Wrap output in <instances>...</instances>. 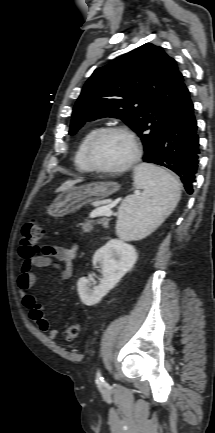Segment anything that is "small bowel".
<instances>
[{
    "label": "small bowel",
    "mask_w": 215,
    "mask_h": 433,
    "mask_svg": "<svg viewBox=\"0 0 215 433\" xmlns=\"http://www.w3.org/2000/svg\"><path fill=\"white\" fill-rule=\"evenodd\" d=\"M75 251L76 247L44 246L37 249L32 256H22L20 275L17 279V286L22 295V304L29 312L30 319L41 331L47 333L51 340L57 339L59 333L52 328L45 317L43 305L34 295L28 293L37 282V276L33 269L53 267L62 279H69L72 276V261Z\"/></svg>",
    "instance_id": "obj_1"
}]
</instances>
